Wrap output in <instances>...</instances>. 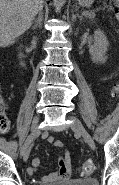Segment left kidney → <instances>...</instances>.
I'll use <instances>...</instances> for the list:
<instances>
[{
    "label": "left kidney",
    "instance_id": "5707ae66",
    "mask_svg": "<svg viewBox=\"0 0 119 185\" xmlns=\"http://www.w3.org/2000/svg\"><path fill=\"white\" fill-rule=\"evenodd\" d=\"M109 42L104 32L96 30L94 32V45L89 49L93 63H105L107 60L106 52Z\"/></svg>",
    "mask_w": 119,
    "mask_h": 185
}]
</instances>
